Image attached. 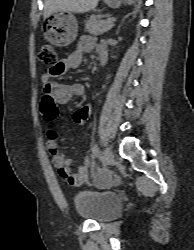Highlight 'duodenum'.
Here are the masks:
<instances>
[{
  "label": "duodenum",
  "instance_id": "1",
  "mask_svg": "<svg viewBox=\"0 0 194 250\" xmlns=\"http://www.w3.org/2000/svg\"><path fill=\"white\" fill-rule=\"evenodd\" d=\"M99 60H100V63L102 65L106 64V62H107V55H106V53H101L100 56H99Z\"/></svg>",
  "mask_w": 194,
  "mask_h": 250
}]
</instances>
